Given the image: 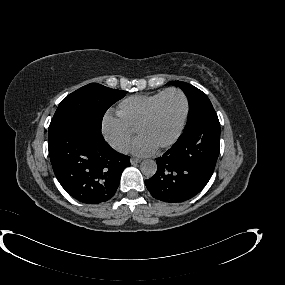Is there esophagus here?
Instances as JSON below:
<instances>
[{"instance_id":"esophagus-1","label":"esophagus","mask_w":285,"mask_h":285,"mask_svg":"<svg viewBox=\"0 0 285 285\" xmlns=\"http://www.w3.org/2000/svg\"><path fill=\"white\" fill-rule=\"evenodd\" d=\"M130 162H131L132 165H135L137 163H140L141 159L135 158V157H131Z\"/></svg>"}]
</instances>
